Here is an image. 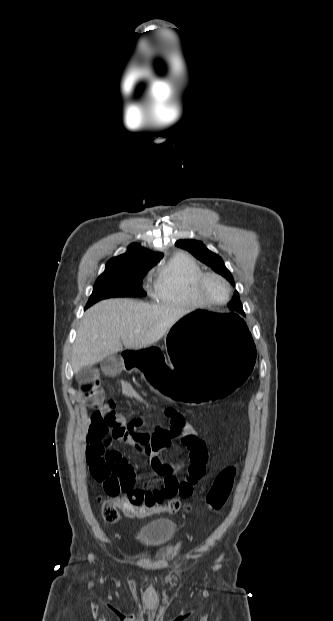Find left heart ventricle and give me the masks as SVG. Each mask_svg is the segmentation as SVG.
<instances>
[{
	"label": "left heart ventricle",
	"mask_w": 333,
	"mask_h": 621,
	"mask_svg": "<svg viewBox=\"0 0 333 621\" xmlns=\"http://www.w3.org/2000/svg\"><path fill=\"white\" fill-rule=\"evenodd\" d=\"M205 294L215 301H221L226 296V288L224 284L215 278H209L204 284Z\"/></svg>",
	"instance_id": "left-heart-ventricle-1"
}]
</instances>
